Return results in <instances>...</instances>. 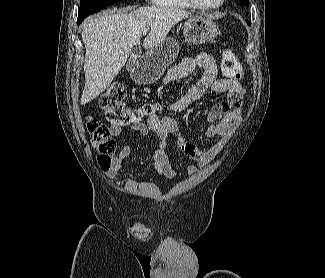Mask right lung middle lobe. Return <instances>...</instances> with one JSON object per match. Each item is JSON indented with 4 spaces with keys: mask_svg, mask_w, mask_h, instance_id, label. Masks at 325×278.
I'll list each match as a JSON object with an SVG mask.
<instances>
[{
    "mask_svg": "<svg viewBox=\"0 0 325 278\" xmlns=\"http://www.w3.org/2000/svg\"><path fill=\"white\" fill-rule=\"evenodd\" d=\"M116 1L118 0H80L78 18L83 16H89Z\"/></svg>",
    "mask_w": 325,
    "mask_h": 278,
    "instance_id": "right-lung-middle-lobe-1",
    "label": "right lung middle lobe"
}]
</instances>
